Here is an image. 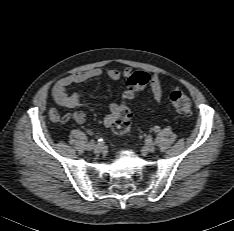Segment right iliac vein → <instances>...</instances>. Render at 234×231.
Masks as SVG:
<instances>
[{"label": "right iliac vein", "instance_id": "1", "mask_svg": "<svg viewBox=\"0 0 234 231\" xmlns=\"http://www.w3.org/2000/svg\"><path fill=\"white\" fill-rule=\"evenodd\" d=\"M87 150H89V151L94 150L95 153H100L104 150V146L101 144L94 145V147H92V148L87 146Z\"/></svg>", "mask_w": 234, "mask_h": 231}]
</instances>
